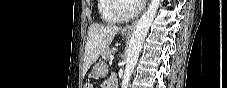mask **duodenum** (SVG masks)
<instances>
[{
  "mask_svg": "<svg viewBox=\"0 0 227 88\" xmlns=\"http://www.w3.org/2000/svg\"><path fill=\"white\" fill-rule=\"evenodd\" d=\"M117 85V79L113 80V86Z\"/></svg>",
  "mask_w": 227,
  "mask_h": 88,
  "instance_id": "duodenum-1",
  "label": "duodenum"
}]
</instances>
